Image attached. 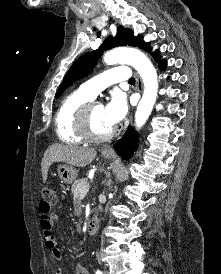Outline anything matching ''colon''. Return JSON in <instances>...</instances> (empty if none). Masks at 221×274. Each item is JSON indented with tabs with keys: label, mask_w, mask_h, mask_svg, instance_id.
Returning <instances> with one entry per match:
<instances>
[{
	"label": "colon",
	"mask_w": 221,
	"mask_h": 274,
	"mask_svg": "<svg viewBox=\"0 0 221 274\" xmlns=\"http://www.w3.org/2000/svg\"><path fill=\"white\" fill-rule=\"evenodd\" d=\"M42 198L47 204L52 205L56 202L57 194L56 191L51 186H45L42 189Z\"/></svg>",
	"instance_id": "colon-1"
}]
</instances>
